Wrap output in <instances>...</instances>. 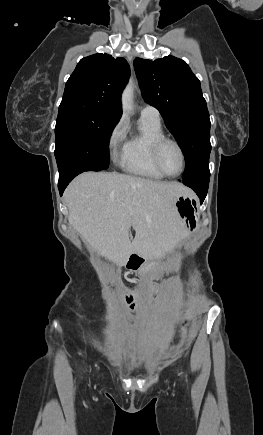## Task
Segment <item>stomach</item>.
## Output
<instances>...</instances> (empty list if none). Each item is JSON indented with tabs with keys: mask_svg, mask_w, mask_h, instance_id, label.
Returning a JSON list of instances; mask_svg holds the SVG:
<instances>
[{
	"mask_svg": "<svg viewBox=\"0 0 263 435\" xmlns=\"http://www.w3.org/2000/svg\"><path fill=\"white\" fill-rule=\"evenodd\" d=\"M175 205L179 216L184 221L181 230L182 233H197V224H194L197 220V203L196 198L189 191L184 194H180ZM126 267L131 271H140V275H145V273L153 270L156 267V263L147 259L137 253H133L129 256Z\"/></svg>",
	"mask_w": 263,
	"mask_h": 435,
	"instance_id": "stomach-1",
	"label": "stomach"
}]
</instances>
